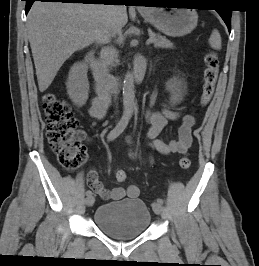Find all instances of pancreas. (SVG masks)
<instances>
[{
  "label": "pancreas",
  "mask_w": 259,
  "mask_h": 266,
  "mask_svg": "<svg viewBox=\"0 0 259 266\" xmlns=\"http://www.w3.org/2000/svg\"><path fill=\"white\" fill-rule=\"evenodd\" d=\"M154 46L158 48H173V43L161 35H155ZM100 61L105 66H115L119 63L118 52L113 47H106L102 50Z\"/></svg>",
  "instance_id": "obj_1"
}]
</instances>
